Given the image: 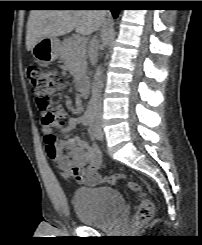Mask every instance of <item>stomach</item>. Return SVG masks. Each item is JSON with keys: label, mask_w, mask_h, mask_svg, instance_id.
<instances>
[{"label": "stomach", "mask_w": 202, "mask_h": 245, "mask_svg": "<svg viewBox=\"0 0 202 245\" xmlns=\"http://www.w3.org/2000/svg\"><path fill=\"white\" fill-rule=\"evenodd\" d=\"M60 41L56 37H46L35 44L31 52L33 57L41 63L55 61L60 55Z\"/></svg>", "instance_id": "obj_1"}]
</instances>
